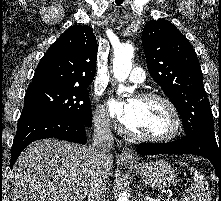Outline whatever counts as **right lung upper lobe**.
<instances>
[{
	"label": "right lung upper lobe",
	"instance_id": "cb5924a9",
	"mask_svg": "<svg viewBox=\"0 0 221 201\" xmlns=\"http://www.w3.org/2000/svg\"><path fill=\"white\" fill-rule=\"evenodd\" d=\"M97 49L91 27H70L42 57L28 88H86L95 76Z\"/></svg>",
	"mask_w": 221,
	"mask_h": 201
}]
</instances>
